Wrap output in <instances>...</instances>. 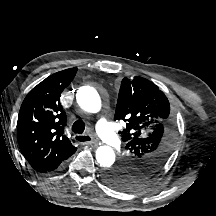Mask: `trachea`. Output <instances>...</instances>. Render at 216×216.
I'll return each instance as SVG.
<instances>
[{
	"instance_id": "obj_1",
	"label": "trachea",
	"mask_w": 216,
	"mask_h": 216,
	"mask_svg": "<svg viewBox=\"0 0 216 216\" xmlns=\"http://www.w3.org/2000/svg\"><path fill=\"white\" fill-rule=\"evenodd\" d=\"M85 130V123L82 120H77L72 125V131L77 134H82ZM80 141H86L85 137H81Z\"/></svg>"
}]
</instances>
